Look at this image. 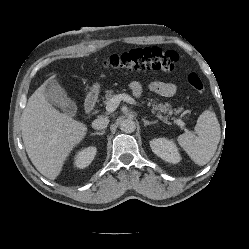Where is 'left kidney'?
Masks as SVG:
<instances>
[{
	"label": "left kidney",
	"mask_w": 249,
	"mask_h": 249,
	"mask_svg": "<svg viewBox=\"0 0 249 249\" xmlns=\"http://www.w3.org/2000/svg\"><path fill=\"white\" fill-rule=\"evenodd\" d=\"M152 151L161 159L176 164L180 162L181 157L178 148L172 140L166 138H157L150 141Z\"/></svg>",
	"instance_id": "obj_1"
}]
</instances>
